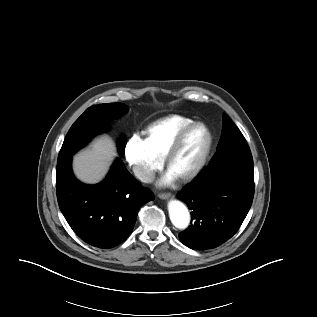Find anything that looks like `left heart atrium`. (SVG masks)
Returning <instances> with one entry per match:
<instances>
[{
  "mask_svg": "<svg viewBox=\"0 0 317 317\" xmlns=\"http://www.w3.org/2000/svg\"><path fill=\"white\" fill-rule=\"evenodd\" d=\"M175 177L174 174H172L171 172L168 173L167 177H166V181H170Z\"/></svg>",
  "mask_w": 317,
  "mask_h": 317,
  "instance_id": "obj_1",
  "label": "left heart atrium"
}]
</instances>
